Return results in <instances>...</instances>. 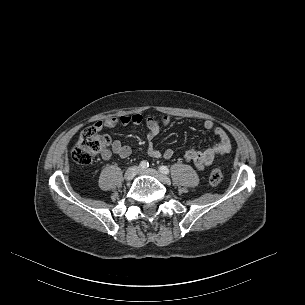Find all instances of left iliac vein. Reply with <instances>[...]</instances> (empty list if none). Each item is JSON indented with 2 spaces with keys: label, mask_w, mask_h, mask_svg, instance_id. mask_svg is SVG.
Returning a JSON list of instances; mask_svg holds the SVG:
<instances>
[{
  "label": "left iliac vein",
  "mask_w": 305,
  "mask_h": 305,
  "mask_svg": "<svg viewBox=\"0 0 305 305\" xmlns=\"http://www.w3.org/2000/svg\"><path fill=\"white\" fill-rule=\"evenodd\" d=\"M138 174L140 175H150L155 177L157 180H159L162 183H170V179L162 174L161 172L155 170V169H139Z\"/></svg>",
  "instance_id": "1"
}]
</instances>
